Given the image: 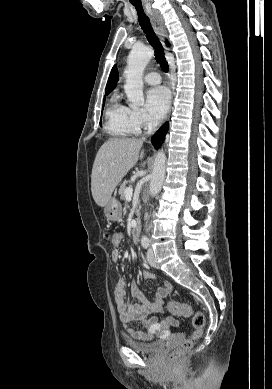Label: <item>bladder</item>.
Listing matches in <instances>:
<instances>
[{"instance_id":"bladder-1","label":"bladder","mask_w":272,"mask_h":389,"mask_svg":"<svg viewBox=\"0 0 272 389\" xmlns=\"http://www.w3.org/2000/svg\"><path fill=\"white\" fill-rule=\"evenodd\" d=\"M124 341L129 348L148 355L159 354L165 348V342L161 340L138 342L129 338H125Z\"/></svg>"}]
</instances>
